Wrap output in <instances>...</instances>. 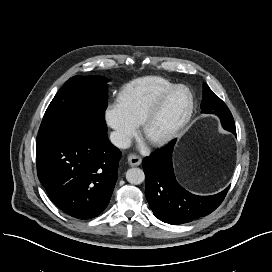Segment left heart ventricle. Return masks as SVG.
<instances>
[{
  "mask_svg": "<svg viewBox=\"0 0 272 272\" xmlns=\"http://www.w3.org/2000/svg\"><path fill=\"white\" fill-rule=\"evenodd\" d=\"M182 105L181 97L174 98L159 115L153 130L162 131L173 125L180 117Z\"/></svg>",
  "mask_w": 272,
  "mask_h": 272,
  "instance_id": "b2bd125f",
  "label": "left heart ventricle"
}]
</instances>
